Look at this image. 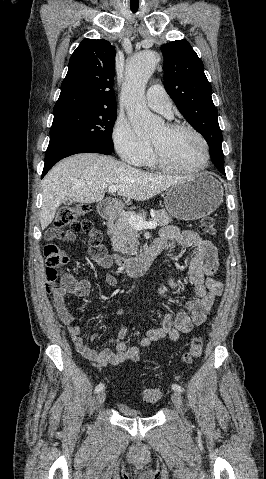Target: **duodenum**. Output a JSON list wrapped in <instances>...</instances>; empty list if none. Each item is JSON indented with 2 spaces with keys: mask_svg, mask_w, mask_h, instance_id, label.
Listing matches in <instances>:
<instances>
[{
  "mask_svg": "<svg viewBox=\"0 0 266 479\" xmlns=\"http://www.w3.org/2000/svg\"><path fill=\"white\" fill-rule=\"evenodd\" d=\"M115 201H106L98 205V213L106 220H112L115 217ZM164 246L156 240L152 242L147 248H145L139 255L133 258H125L122 256H116V261L119 269L125 275L132 278H139L145 275L153 264L155 258L161 253ZM90 256L95 258L101 254L99 247H91L89 249Z\"/></svg>",
  "mask_w": 266,
  "mask_h": 479,
  "instance_id": "1",
  "label": "duodenum"
}]
</instances>
